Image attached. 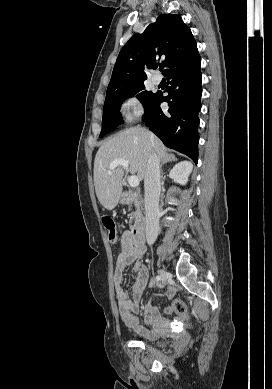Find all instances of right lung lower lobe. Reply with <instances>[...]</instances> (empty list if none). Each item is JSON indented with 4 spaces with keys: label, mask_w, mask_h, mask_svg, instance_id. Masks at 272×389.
Listing matches in <instances>:
<instances>
[{
    "label": "right lung lower lobe",
    "mask_w": 272,
    "mask_h": 389,
    "mask_svg": "<svg viewBox=\"0 0 272 389\" xmlns=\"http://www.w3.org/2000/svg\"><path fill=\"white\" fill-rule=\"evenodd\" d=\"M201 58L198 54L189 62L167 74L171 87L164 97L158 92L155 101L145 110L143 120L163 143L198 161V113L201 109ZM168 102L169 109L162 110L161 102Z\"/></svg>",
    "instance_id": "right-lung-lower-lobe-1"
}]
</instances>
